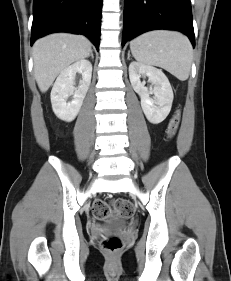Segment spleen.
<instances>
[{"mask_svg": "<svg viewBox=\"0 0 231 281\" xmlns=\"http://www.w3.org/2000/svg\"><path fill=\"white\" fill-rule=\"evenodd\" d=\"M130 49L140 63L161 67L181 81L189 77L193 49L189 39L179 32L144 33L130 42Z\"/></svg>", "mask_w": 231, "mask_h": 281, "instance_id": "1", "label": "spleen"}]
</instances>
